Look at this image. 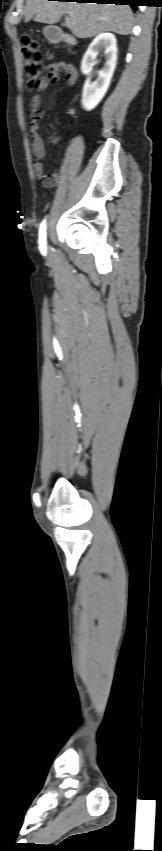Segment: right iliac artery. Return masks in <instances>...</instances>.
Returning <instances> with one entry per match:
<instances>
[{"mask_svg": "<svg viewBox=\"0 0 162 851\" xmlns=\"http://www.w3.org/2000/svg\"><path fill=\"white\" fill-rule=\"evenodd\" d=\"M39 249L43 255L46 254V221L44 220L39 230Z\"/></svg>", "mask_w": 162, "mask_h": 851, "instance_id": "right-iliac-artery-1", "label": "right iliac artery"}]
</instances>
